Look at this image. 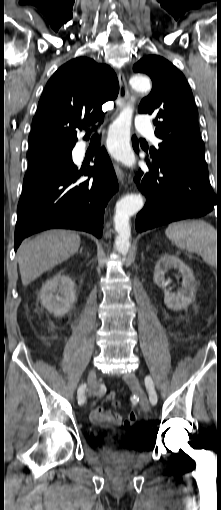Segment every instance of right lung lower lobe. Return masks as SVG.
Returning <instances> with one entry per match:
<instances>
[{"label":"right lung lower lobe","instance_id":"obj_1","mask_svg":"<svg viewBox=\"0 0 221 510\" xmlns=\"http://www.w3.org/2000/svg\"><path fill=\"white\" fill-rule=\"evenodd\" d=\"M117 190V178L104 147L97 152L93 167L78 170L72 162L65 169L26 173L14 249L24 238L50 228L86 231L100 238L105 206Z\"/></svg>","mask_w":221,"mask_h":510}]
</instances>
